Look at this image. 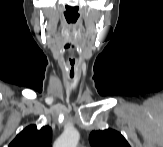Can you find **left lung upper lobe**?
I'll list each match as a JSON object with an SVG mask.
<instances>
[{
    "instance_id": "1",
    "label": "left lung upper lobe",
    "mask_w": 163,
    "mask_h": 147,
    "mask_svg": "<svg viewBox=\"0 0 163 147\" xmlns=\"http://www.w3.org/2000/svg\"><path fill=\"white\" fill-rule=\"evenodd\" d=\"M89 139L92 147H130L121 133L113 129L93 131Z\"/></svg>"
}]
</instances>
